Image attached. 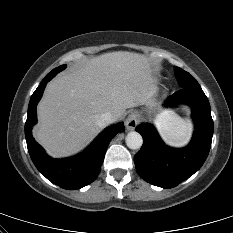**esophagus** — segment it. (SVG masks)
Wrapping results in <instances>:
<instances>
[{
  "label": "esophagus",
  "mask_w": 233,
  "mask_h": 233,
  "mask_svg": "<svg viewBox=\"0 0 233 233\" xmlns=\"http://www.w3.org/2000/svg\"><path fill=\"white\" fill-rule=\"evenodd\" d=\"M139 123V116L136 112H131L126 120V126L128 130H133Z\"/></svg>",
  "instance_id": "obj_1"
}]
</instances>
